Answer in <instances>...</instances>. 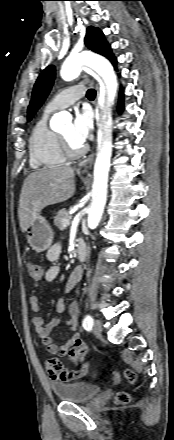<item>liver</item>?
Returning <instances> with one entry per match:
<instances>
[{
	"instance_id": "1",
	"label": "liver",
	"mask_w": 174,
	"mask_h": 440,
	"mask_svg": "<svg viewBox=\"0 0 174 440\" xmlns=\"http://www.w3.org/2000/svg\"><path fill=\"white\" fill-rule=\"evenodd\" d=\"M74 169H38L24 180L19 199V224L23 232L45 207L64 202L75 192Z\"/></svg>"
}]
</instances>
